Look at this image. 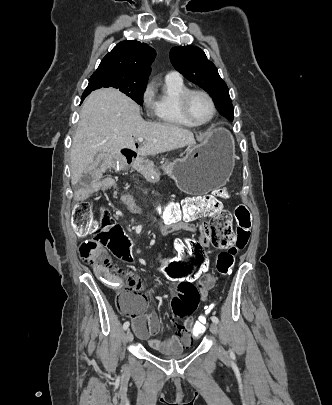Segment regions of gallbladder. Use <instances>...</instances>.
I'll return each mask as SVG.
<instances>
[{
    "label": "gallbladder",
    "mask_w": 332,
    "mask_h": 405,
    "mask_svg": "<svg viewBox=\"0 0 332 405\" xmlns=\"http://www.w3.org/2000/svg\"><path fill=\"white\" fill-rule=\"evenodd\" d=\"M102 157H104V155H103L102 153H100V154L97 156V159H98V158H102Z\"/></svg>",
    "instance_id": "bac80fb5"
}]
</instances>
